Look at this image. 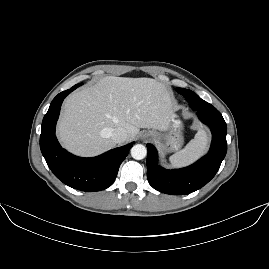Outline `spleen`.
Wrapping results in <instances>:
<instances>
[{"label":"spleen","mask_w":269,"mask_h":269,"mask_svg":"<svg viewBox=\"0 0 269 269\" xmlns=\"http://www.w3.org/2000/svg\"><path fill=\"white\" fill-rule=\"evenodd\" d=\"M209 137L206 128H201L186 147L170 156L169 160L173 167L186 166L198 159L206 150Z\"/></svg>","instance_id":"spleen-1"}]
</instances>
